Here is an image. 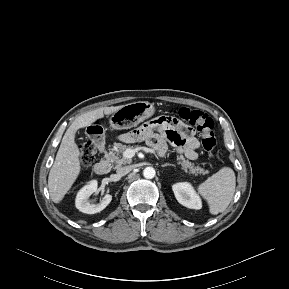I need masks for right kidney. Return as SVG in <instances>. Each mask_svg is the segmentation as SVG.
<instances>
[{
    "instance_id": "1",
    "label": "right kidney",
    "mask_w": 289,
    "mask_h": 289,
    "mask_svg": "<svg viewBox=\"0 0 289 289\" xmlns=\"http://www.w3.org/2000/svg\"><path fill=\"white\" fill-rule=\"evenodd\" d=\"M96 191V180L91 181L89 184L85 185L82 189H80V191L77 193L75 200L76 208L86 214H95L105 209L107 205L111 202L112 196L109 194H105L100 203L95 204L90 202L89 197Z\"/></svg>"
}]
</instances>
